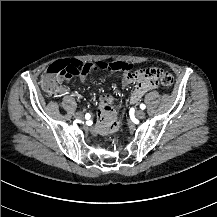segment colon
I'll use <instances>...</instances> for the list:
<instances>
[{"label":"colon","mask_w":217,"mask_h":217,"mask_svg":"<svg viewBox=\"0 0 217 217\" xmlns=\"http://www.w3.org/2000/svg\"><path fill=\"white\" fill-rule=\"evenodd\" d=\"M131 64L126 61H96L92 63H80V62H65L60 61L53 63L49 66L48 72L43 81V87L46 91L52 94H56L63 86L61 76L71 77L73 75L87 74L91 71H97L98 69H106L111 71H125L131 68ZM162 69L139 67L134 77L138 80H152L156 79L157 75ZM165 86H171L173 84V77L169 73L163 76Z\"/></svg>","instance_id":"obj_1"}]
</instances>
